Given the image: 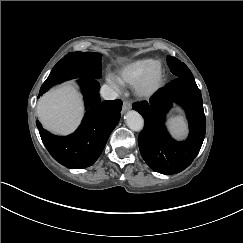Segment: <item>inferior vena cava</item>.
<instances>
[{"mask_svg": "<svg viewBox=\"0 0 243 243\" xmlns=\"http://www.w3.org/2000/svg\"><path fill=\"white\" fill-rule=\"evenodd\" d=\"M101 96L105 100H115V99L119 98V96L116 93V91L113 88L108 87L106 85L102 86V88H101Z\"/></svg>", "mask_w": 243, "mask_h": 243, "instance_id": "602c4592", "label": "inferior vena cava"}]
</instances>
